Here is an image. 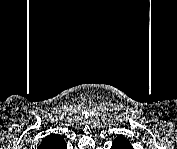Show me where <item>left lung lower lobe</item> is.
Listing matches in <instances>:
<instances>
[{
  "label": "left lung lower lobe",
  "mask_w": 177,
  "mask_h": 149,
  "mask_svg": "<svg viewBox=\"0 0 177 149\" xmlns=\"http://www.w3.org/2000/svg\"><path fill=\"white\" fill-rule=\"evenodd\" d=\"M129 142L126 138L124 137H118L114 139V144H113V149H125V148H129Z\"/></svg>",
  "instance_id": "1"
}]
</instances>
